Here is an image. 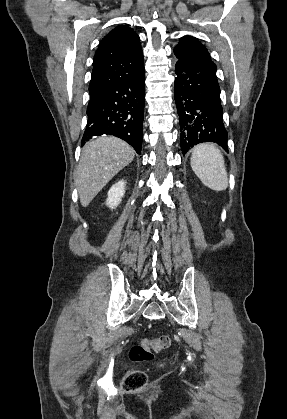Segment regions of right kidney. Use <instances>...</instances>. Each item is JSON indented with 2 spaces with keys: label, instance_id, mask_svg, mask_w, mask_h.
<instances>
[{
  "label": "right kidney",
  "instance_id": "ca27d5eb",
  "mask_svg": "<svg viewBox=\"0 0 287 419\" xmlns=\"http://www.w3.org/2000/svg\"><path fill=\"white\" fill-rule=\"evenodd\" d=\"M125 193V182L123 180L115 183L108 191L106 205L111 209H115L121 202Z\"/></svg>",
  "mask_w": 287,
  "mask_h": 419
}]
</instances>
